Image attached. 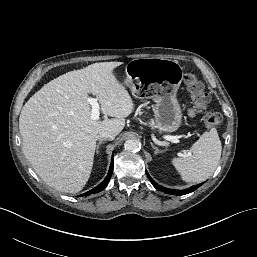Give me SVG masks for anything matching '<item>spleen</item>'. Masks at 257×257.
I'll return each mask as SVG.
<instances>
[{
    "label": "spleen",
    "mask_w": 257,
    "mask_h": 257,
    "mask_svg": "<svg viewBox=\"0 0 257 257\" xmlns=\"http://www.w3.org/2000/svg\"><path fill=\"white\" fill-rule=\"evenodd\" d=\"M191 153L172 159V164L185 182H202L215 171L222 152L217 130L204 132L190 148Z\"/></svg>",
    "instance_id": "3e777b00"
}]
</instances>
